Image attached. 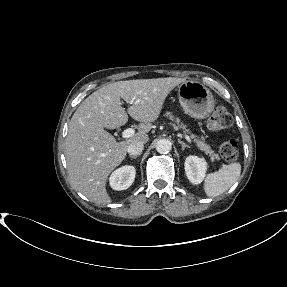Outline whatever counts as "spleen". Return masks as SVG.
I'll return each instance as SVG.
<instances>
[{"mask_svg": "<svg viewBox=\"0 0 287 287\" xmlns=\"http://www.w3.org/2000/svg\"><path fill=\"white\" fill-rule=\"evenodd\" d=\"M240 173V163L223 165L218 171L209 173L204 182L205 194L208 197L221 195L238 180Z\"/></svg>", "mask_w": 287, "mask_h": 287, "instance_id": "obj_1", "label": "spleen"}]
</instances>
